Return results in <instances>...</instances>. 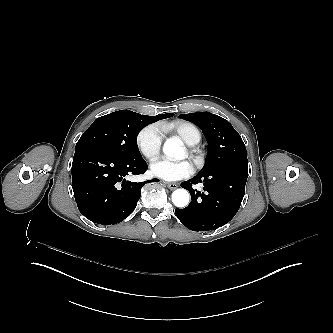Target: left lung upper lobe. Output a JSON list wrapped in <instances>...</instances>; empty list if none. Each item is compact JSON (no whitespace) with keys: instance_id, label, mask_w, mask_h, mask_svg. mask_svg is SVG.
Instances as JSON below:
<instances>
[{"instance_id":"5c2ea615","label":"left lung upper lobe","mask_w":333,"mask_h":333,"mask_svg":"<svg viewBox=\"0 0 333 333\" xmlns=\"http://www.w3.org/2000/svg\"><path fill=\"white\" fill-rule=\"evenodd\" d=\"M179 117L198 125L209 144L207 161L197 175L209 176L225 165L248 163L245 144L227 120L209 112L181 114Z\"/></svg>"}]
</instances>
